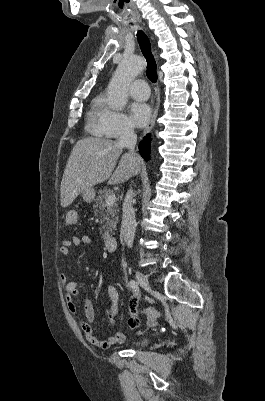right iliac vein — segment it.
<instances>
[{"instance_id": "1", "label": "right iliac vein", "mask_w": 265, "mask_h": 401, "mask_svg": "<svg viewBox=\"0 0 265 401\" xmlns=\"http://www.w3.org/2000/svg\"><path fill=\"white\" fill-rule=\"evenodd\" d=\"M135 275L140 286H142L147 292H151V285L147 279V276L138 270L135 272Z\"/></svg>"}]
</instances>
